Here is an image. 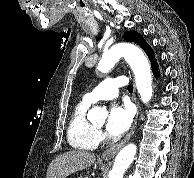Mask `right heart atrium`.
Wrapping results in <instances>:
<instances>
[{
  "label": "right heart atrium",
  "instance_id": "d8ad5b80",
  "mask_svg": "<svg viewBox=\"0 0 194 178\" xmlns=\"http://www.w3.org/2000/svg\"><path fill=\"white\" fill-rule=\"evenodd\" d=\"M98 137L100 140H103L105 136L102 132H98Z\"/></svg>",
  "mask_w": 194,
  "mask_h": 178
}]
</instances>
